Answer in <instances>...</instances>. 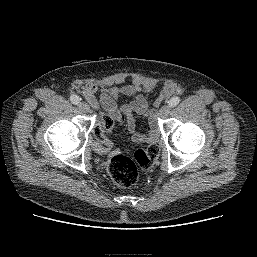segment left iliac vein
<instances>
[{
    "mask_svg": "<svg viewBox=\"0 0 257 257\" xmlns=\"http://www.w3.org/2000/svg\"><path fill=\"white\" fill-rule=\"evenodd\" d=\"M170 110H171V106L170 105H165L163 106L160 111H159V116L161 118H165L169 115L170 113Z\"/></svg>",
    "mask_w": 257,
    "mask_h": 257,
    "instance_id": "left-iliac-vein-1",
    "label": "left iliac vein"
}]
</instances>
